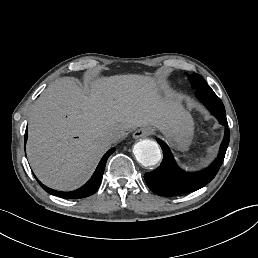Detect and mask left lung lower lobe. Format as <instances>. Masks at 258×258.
I'll return each instance as SVG.
<instances>
[{
	"label": "left lung lower lobe",
	"mask_w": 258,
	"mask_h": 258,
	"mask_svg": "<svg viewBox=\"0 0 258 258\" xmlns=\"http://www.w3.org/2000/svg\"><path fill=\"white\" fill-rule=\"evenodd\" d=\"M193 88L196 89V97L217 118L219 123L226 127L225 136L218 157L209 167L198 172H185L180 169L169 147L162 140L157 139L163 150V160L157 169L146 173L144 179L153 192L163 196L185 194L208 184L217 174L229 144L230 131L227 128L226 112L222 101L207 83L194 84Z\"/></svg>",
	"instance_id": "left-lung-lower-lobe-1"
}]
</instances>
